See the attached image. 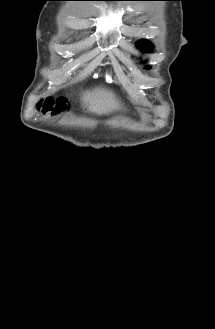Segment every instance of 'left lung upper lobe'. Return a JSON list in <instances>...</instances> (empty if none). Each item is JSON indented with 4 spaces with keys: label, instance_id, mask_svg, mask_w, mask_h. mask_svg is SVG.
Wrapping results in <instances>:
<instances>
[{
    "label": "left lung upper lobe",
    "instance_id": "left-lung-upper-lobe-1",
    "mask_svg": "<svg viewBox=\"0 0 215 329\" xmlns=\"http://www.w3.org/2000/svg\"><path fill=\"white\" fill-rule=\"evenodd\" d=\"M137 47L140 48L141 51L146 52L152 50L153 45L150 42L142 40L138 42ZM146 68L150 69V67H146Z\"/></svg>",
    "mask_w": 215,
    "mask_h": 329
}]
</instances>
